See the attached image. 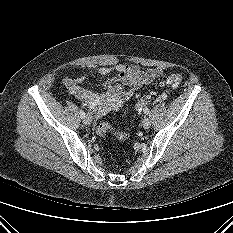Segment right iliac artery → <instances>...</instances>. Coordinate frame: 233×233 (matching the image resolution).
<instances>
[{
	"instance_id": "obj_1",
	"label": "right iliac artery",
	"mask_w": 233,
	"mask_h": 233,
	"mask_svg": "<svg viewBox=\"0 0 233 233\" xmlns=\"http://www.w3.org/2000/svg\"><path fill=\"white\" fill-rule=\"evenodd\" d=\"M79 115L81 118H85V113L83 110H80Z\"/></svg>"
}]
</instances>
